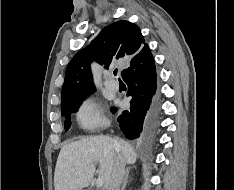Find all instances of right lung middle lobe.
<instances>
[{
    "label": "right lung middle lobe",
    "mask_w": 234,
    "mask_h": 190,
    "mask_svg": "<svg viewBox=\"0 0 234 190\" xmlns=\"http://www.w3.org/2000/svg\"><path fill=\"white\" fill-rule=\"evenodd\" d=\"M90 93V92H89ZM89 93H86L74 100H71L69 102H66V103H63L61 104V113L62 115H65L66 116V121H65V130L67 131L70 126H71V123H70V115L71 113L77 111L78 107L80 106V102L84 99V96L89 94Z\"/></svg>",
    "instance_id": "1"
}]
</instances>
